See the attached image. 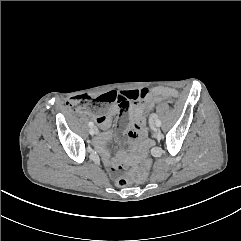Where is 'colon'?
<instances>
[{
    "instance_id": "obj_1",
    "label": "colon",
    "mask_w": 241,
    "mask_h": 241,
    "mask_svg": "<svg viewBox=\"0 0 241 241\" xmlns=\"http://www.w3.org/2000/svg\"><path fill=\"white\" fill-rule=\"evenodd\" d=\"M127 97L122 98L116 96L113 93H106L98 97H92L89 95H79L72 98L68 102L69 109L74 113H81V112H90L93 114H99L104 112L108 105L112 103H117L121 107L122 113H120V123L125 122V112L128 108L127 105ZM176 103V100L172 97L163 96L160 98L152 99L146 105H142L140 109V117L143 121L147 120L146 115L152 113L158 105L160 104H167L168 106H173ZM141 148L143 150H149L151 148V143L149 141H143L141 143ZM124 167V162L122 160L119 161L117 165L118 169H122ZM141 175H145V171L141 172ZM128 180L124 177H119L117 179V184L119 186L127 185Z\"/></svg>"
}]
</instances>
